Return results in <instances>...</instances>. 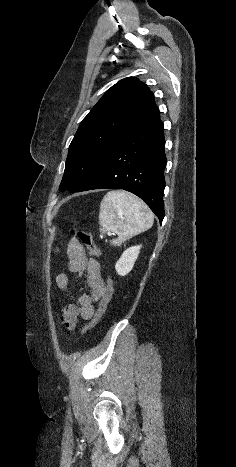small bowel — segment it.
Returning <instances> with one entry per match:
<instances>
[{"mask_svg": "<svg viewBox=\"0 0 236 467\" xmlns=\"http://www.w3.org/2000/svg\"><path fill=\"white\" fill-rule=\"evenodd\" d=\"M67 256L69 271L78 277L86 274L87 283L91 289L90 294L77 296L76 302L67 304L61 313L62 324L67 329H72L78 317L85 320L93 317L94 304L105 295L107 284L102 278L100 263L96 259L88 257L84 248L76 240L69 241ZM56 283L60 290L70 293L69 277L66 273H59L56 276Z\"/></svg>", "mask_w": 236, "mask_h": 467, "instance_id": "small-bowel-1", "label": "small bowel"}]
</instances>
